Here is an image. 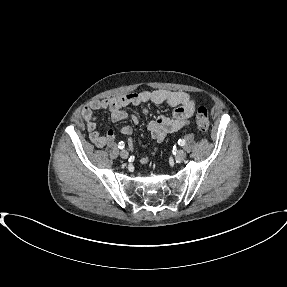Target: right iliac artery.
Wrapping results in <instances>:
<instances>
[{"label": "right iliac artery", "mask_w": 287, "mask_h": 287, "mask_svg": "<svg viewBox=\"0 0 287 287\" xmlns=\"http://www.w3.org/2000/svg\"><path fill=\"white\" fill-rule=\"evenodd\" d=\"M124 146H125V144H124V142H123V141L119 142V144H118V148L123 149V148H124Z\"/></svg>", "instance_id": "1"}]
</instances>
